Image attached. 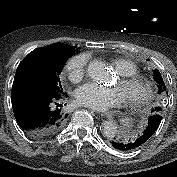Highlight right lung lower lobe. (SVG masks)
Segmentation results:
<instances>
[{
  "instance_id": "obj_1",
  "label": "right lung lower lobe",
  "mask_w": 177,
  "mask_h": 177,
  "mask_svg": "<svg viewBox=\"0 0 177 177\" xmlns=\"http://www.w3.org/2000/svg\"><path fill=\"white\" fill-rule=\"evenodd\" d=\"M64 97L67 94L52 95L12 88L11 101L18 125L35 138L57 133L68 117L61 104Z\"/></svg>"
}]
</instances>
